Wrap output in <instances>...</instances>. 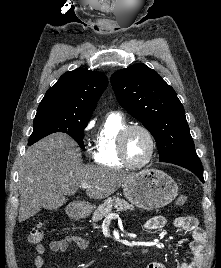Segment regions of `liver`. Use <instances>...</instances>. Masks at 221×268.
Masks as SVG:
<instances>
[{"mask_svg": "<svg viewBox=\"0 0 221 268\" xmlns=\"http://www.w3.org/2000/svg\"><path fill=\"white\" fill-rule=\"evenodd\" d=\"M134 174L82 163L80 149L65 134H52L29 147L19 169L20 207L23 222L41 208L50 209L74 195L82 183L92 199H104L124 185Z\"/></svg>", "mask_w": 221, "mask_h": 268, "instance_id": "liver-1", "label": "liver"}]
</instances>
